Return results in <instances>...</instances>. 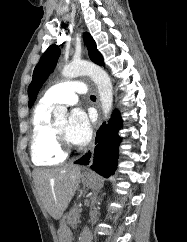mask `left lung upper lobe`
<instances>
[{"instance_id":"obj_1","label":"left lung upper lobe","mask_w":187,"mask_h":242,"mask_svg":"<svg viewBox=\"0 0 187 242\" xmlns=\"http://www.w3.org/2000/svg\"><path fill=\"white\" fill-rule=\"evenodd\" d=\"M84 43L88 50V54L91 61H93L98 65L104 66L103 57L100 54V52L97 50L96 43L89 33L84 34ZM59 55H60L59 48L56 45H51L45 51L39 63L36 65L33 72L32 82L30 83L28 88L29 107H32L43 83L46 81L48 76L53 72L57 64Z\"/></svg>"}]
</instances>
